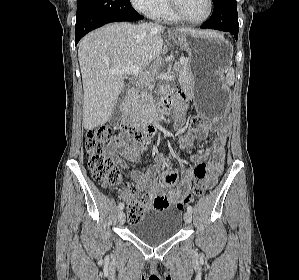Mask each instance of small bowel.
Instances as JSON below:
<instances>
[{"instance_id":"c3829d8e","label":"small bowel","mask_w":299,"mask_h":280,"mask_svg":"<svg viewBox=\"0 0 299 280\" xmlns=\"http://www.w3.org/2000/svg\"><path fill=\"white\" fill-rule=\"evenodd\" d=\"M185 107L179 113V116L175 118L176 127H180L184 121ZM200 128L202 129L201 133L183 132L179 136L178 143L181 149L189 152L195 139H204L209 132L216 133V138L211 146L204 148L201 153L191 155L192 162L207 164L206 180L214 183L223 169L229 126L227 123L207 121L203 122ZM141 150L142 147L127 134H123L118 142L107 147L109 155L121 165L123 163L117 157V153L130 161L137 162ZM168 166V159L162 157L147 173L137 170L131 171V177L137 185V190L142 193L141 201L144 203L145 208H168L177 205L190 195L194 178L193 169H187L183 176H180L178 172L170 170ZM120 197L129 202L134 198V195L125 190L120 193Z\"/></svg>"}]
</instances>
